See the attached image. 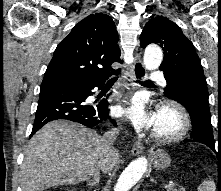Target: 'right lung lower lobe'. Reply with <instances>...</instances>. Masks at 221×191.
I'll return each mask as SVG.
<instances>
[{
    "label": "right lung lower lobe",
    "mask_w": 221,
    "mask_h": 191,
    "mask_svg": "<svg viewBox=\"0 0 221 191\" xmlns=\"http://www.w3.org/2000/svg\"><path fill=\"white\" fill-rule=\"evenodd\" d=\"M120 71V70H119ZM119 71L115 74H119ZM107 79V78H106ZM105 80L93 85H56L41 87L35 121L30 138L45 124L58 119H66L94 127L108 118V102L85 104L93 95L94 87L101 88ZM116 126L114 120H110Z\"/></svg>",
    "instance_id": "1"
}]
</instances>
